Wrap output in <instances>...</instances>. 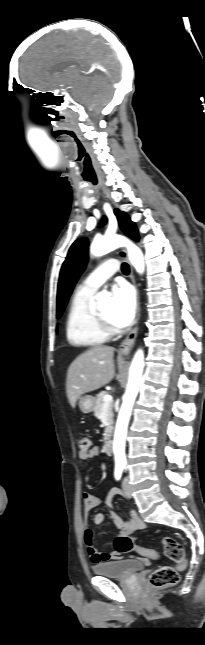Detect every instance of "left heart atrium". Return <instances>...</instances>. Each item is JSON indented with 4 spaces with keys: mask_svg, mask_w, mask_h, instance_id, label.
Segmentation results:
<instances>
[{
    "mask_svg": "<svg viewBox=\"0 0 205 645\" xmlns=\"http://www.w3.org/2000/svg\"><path fill=\"white\" fill-rule=\"evenodd\" d=\"M136 297L128 285L122 284L112 289L113 322L119 327L128 326L136 312Z\"/></svg>",
    "mask_w": 205,
    "mask_h": 645,
    "instance_id": "obj_1",
    "label": "left heart atrium"
}]
</instances>
